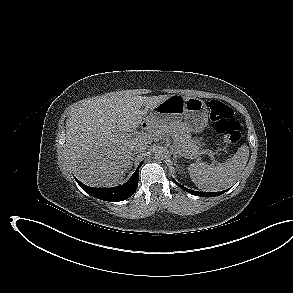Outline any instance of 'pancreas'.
Listing matches in <instances>:
<instances>
[{
	"label": "pancreas",
	"mask_w": 293,
	"mask_h": 293,
	"mask_svg": "<svg viewBox=\"0 0 293 293\" xmlns=\"http://www.w3.org/2000/svg\"><path fill=\"white\" fill-rule=\"evenodd\" d=\"M153 133L171 135L174 139L176 148L184 157L197 158L201 154L188 128L182 122H170L168 124L159 125L155 128Z\"/></svg>",
	"instance_id": "obj_1"
}]
</instances>
